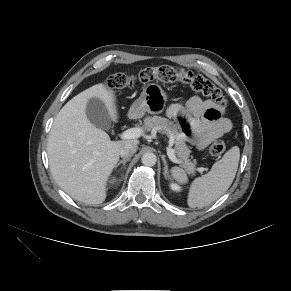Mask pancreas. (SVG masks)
<instances>
[{"label":"pancreas","mask_w":291,"mask_h":291,"mask_svg":"<svg viewBox=\"0 0 291 291\" xmlns=\"http://www.w3.org/2000/svg\"><path fill=\"white\" fill-rule=\"evenodd\" d=\"M144 124L148 130L158 131L173 139V151L179 158L180 165L185 168L188 173L194 174L195 163H192L188 159L190 149L186 145L183 135L179 132V128L175 124L171 123L167 118L160 116L147 117L144 120Z\"/></svg>","instance_id":"pancreas-1"}]
</instances>
